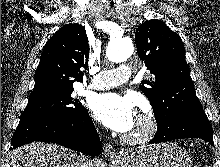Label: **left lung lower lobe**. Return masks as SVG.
I'll return each mask as SVG.
<instances>
[{
    "label": "left lung lower lobe",
    "mask_w": 220,
    "mask_h": 167,
    "mask_svg": "<svg viewBox=\"0 0 220 167\" xmlns=\"http://www.w3.org/2000/svg\"><path fill=\"white\" fill-rule=\"evenodd\" d=\"M181 138H201L213 145L212 128L204 110L187 112L170 119L158 130L152 143H160Z\"/></svg>",
    "instance_id": "0a47b994"
}]
</instances>
